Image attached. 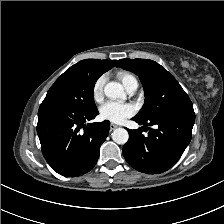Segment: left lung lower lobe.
Wrapping results in <instances>:
<instances>
[{"instance_id":"0a47b994","label":"left lung lower lobe","mask_w":224,"mask_h":224,"mask_svg":"<svg viewBox=\"0 0 224 224\" xmlns=\"http://www.w3.org/2000/svg\"><path fill=\"white\" fill-rule=\"evenodd\" d=\"M144 126L156 125V129L128 130L129 140L123 147L126 161L136 170L149 174L170 169L188 146L195 122L194 110H178L150 121L133 118ZM144 128V127H143Z\"/></svg>"}]
</instances>
